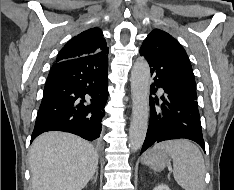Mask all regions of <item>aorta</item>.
<instances>
[{
    "mask_svg": "<svg viewBox=\"0 0 234 190\" xmlns=\"http://www.w3.org/2000/svg\"><path fill=\"white\" fill-rule=\"evenodd\" d=\"M132 119L129 129V148L135 152L146 137L149 117L150 68L145 59H139L131 71Z\"/></svg>",
    "mask_w": 234,
    "mask_h": 190,
    "instance_id": "obj_1",
    "label": "aorta"
}]
</instances>
